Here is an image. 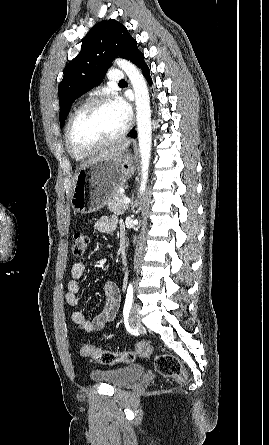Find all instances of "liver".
<instances>
[{"label": "liver", "mask_w": 269, "mask_h": 445, "mask_svg": "<svg viewBox=\"0 0 269 445\" xmlns=\"http://www.w3.org/2000/svg\"><path fill=\"white\" fill-rule=\"evenodd\" d=\"M130 140H124L122 142H119L115 145H112L99 153L95 158L89 160L87 163L83 164L82 167L87 166L90 163L99 161L100 159H110V158H117L122 155V153L126 150V148L130 144Z\"/></svg>", "instance_id": "1"}]
</instances>
